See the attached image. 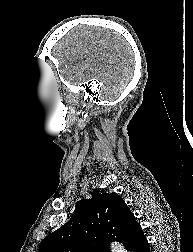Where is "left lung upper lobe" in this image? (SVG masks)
<instances>
[{"mask_svg": "<svg viewBox=\"0 0 193 252\" xmlns=\"http://www.w3.org/2000/svg\"><path fill=\"white\" fill-rule=\"evenodd\" d=\"M138 225L119 195L94 190L91 199L77 203L67 223L41 242L39 252H111L109 241L127 247Z\"/></svg>", "mask_w": 193, "mask_h": 252, "instance_id": "left-lung-upper-lobe-1", "label": "left lung upper lobe"}]
</instances>
